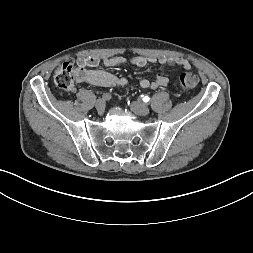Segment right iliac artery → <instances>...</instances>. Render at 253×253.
Here are the masks:
<instances>
[{
	"label": "right iliac artery",
	"mask_w": 253,
	"mask_h": 253,
	"mask_svg": "<svg viewBox=\"0 0 253 253\" xmlns=\"http://www.w3.org/2000/svg\"><path fill=\"white\" fill-rule=\"evenodd\" d=\"M111 94H109V93H104L103 95H102V99L105 101V100H110L111 99Z\"/></svg>",
	"instance_id": "82829eb1"
}]
</instances>
